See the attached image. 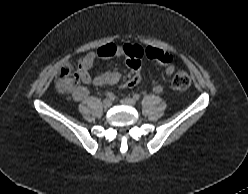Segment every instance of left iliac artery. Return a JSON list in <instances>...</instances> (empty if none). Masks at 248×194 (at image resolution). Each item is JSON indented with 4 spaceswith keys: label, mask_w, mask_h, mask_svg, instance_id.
I'll return each instance as SVG.
<instances>
[{
    "label": "left iliac artery",
    "mask_w": 248,
    "mask_h": 194,
    "mask_svg": "<svg viewBox=\"0 0 248 194\" xmlns=\"http://www.w3.org/2000/svg\"><path fill=\"white\" fill-rule=\"evenodd\" d=\"M133 99L138 101L140 99V95L139 94H134Z\"/></svg>",
    "instance_id": "44dca946"
}]
</instances>
